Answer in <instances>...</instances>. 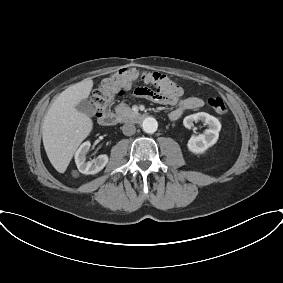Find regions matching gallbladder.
I'll list each match as a JSON object with an SVG mask.
<instances>
[{"instance_id":"gallbladder-1","label":"gallbladder","mask_w":283,"mask_h":283,"mask_svg":"<svg viewBox=\"0 0 283 283\" xmlns=\"http://www.w3.org/2000/svg\"><path fill=\"white\" fill-rule=\"evenodd\" d=\"M75 108L87 116H93L95 113L94 105L88 100H82Z\"/></svg>"}]
</instances>
